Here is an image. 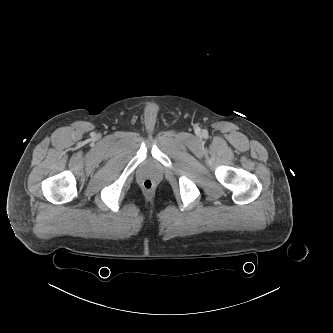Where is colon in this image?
Instances as JSON below:
<instances>
[{
  "label": "colon",
  "instance_id": "colon-1",
  "mask_svg": "<svg viewBox=\"0 0 333 333\" xmlns=\"http://www.w3.org/2000/svg\"><path fill=\"white\" fill-rule=\"evenodd\" d=\"M142 187H143L145 190L150 191V190L153 189V187H154V183H153V181L150 180V179H145V180L142 181Z\"/></svg>",
  "mask_w": 333,
  "mask_h": 333
}]
</instances>
